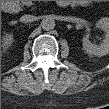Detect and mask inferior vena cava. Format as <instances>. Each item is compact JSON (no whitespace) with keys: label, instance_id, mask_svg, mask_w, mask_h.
<instances>
[{"label":"inferior vena cava","instance_id":"1","mask_svg":"<svg viewBox=\"0 0 109 109\" xmlns=\"http://www.w3.org/2000/svg\"><path fill=\"white\" fill-rule=\"evenodd\" d=\"M35 20V16L33 15H24L21 17L20 21L25 23H30Z\"/></svg>","mask_w":109,"mask_h":109}]
</instances>
